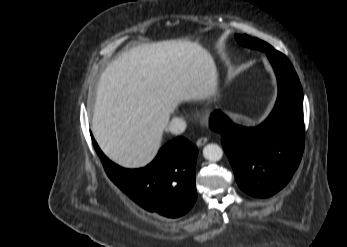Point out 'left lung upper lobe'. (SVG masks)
Returning <instances> with one entry per match:
<instances>
[{"label":"left lung upper lobe","mask_w":347,"mask_h":247,"mask_svg":"<svg viewBox=\"0 0 347 247\" xmlns=\"http://www.w3.org/2000/svg\"><path fill=\"white\" fill-rule=\"evenodd\" d=\"M236 39L244 46L249 48L259 49L261 51H265L266 53H271L276 50L273 49L269 44L264 41H261L257 38H251L248 35H237Z\"/></svg>","instance_id":"obj_1"}]
</instances>
